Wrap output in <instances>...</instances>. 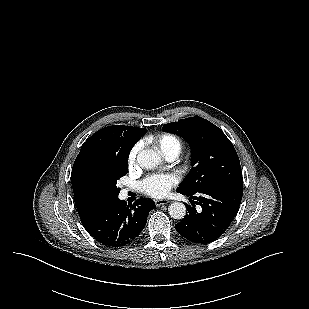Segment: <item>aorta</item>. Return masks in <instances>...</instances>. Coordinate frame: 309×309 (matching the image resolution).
I'll use <instances>...</instances> for the list:
<instances>
[{
    "label": "aorta",
    "mask_w": 309,
    "mask_h": 309,
    "mask_svg": "<svg viewBox=\"0 0 309 309\" xmlns=\"http://www.w3.org/2000/svg\"><path fill=\"white\" fill-rule=\"evenodd\" d=\"M160 162L161 155L152 149L142 150L137 155V163L144 169H153ZM168 212L173 219H183L186 215V206L181 202H173L169 206Z\"/></svg>",
    "instance_id": "1"
}]
</instances>
